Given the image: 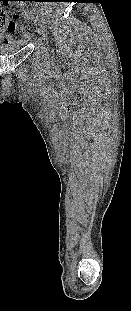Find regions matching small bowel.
I'll return each instance as SVG.
<instances>
[{"label":"small bowel","instance_id":"small-bowel-1","mask_svg":"<svg viewBox=\"0 0 131 311\" xmlns=\"http://www.w3.org/2000/svg\"><path fill=\"white\" fill-rule=\"evenodd\" d=\"M17 28L13 26H7L0 29V43L8 42L12 39V33L17 32Z\"/></svg>","mask_w":131,"mask_h":311}]
</instances>
